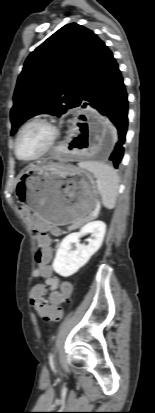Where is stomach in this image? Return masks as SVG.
I'll use <instances>...</instances> for the list:
<instances>
[{
    "mask_svg": "<svg viewBox=\"0 0 155 413\" xmlns=\"http://www.w3.org/2000/svg\"><path fill=\"white\" fill-rule=\"evenodd\" d=\"M15 194L34 215L57 226L87 221L99 202L97 182L89 171L54 163L26 167Z\"/></svg>",
    "mask_w": 155,
    "mask_h": 413,
    "instance_id": "obj_1",
    "label": "stomach"
}]
</instances>
